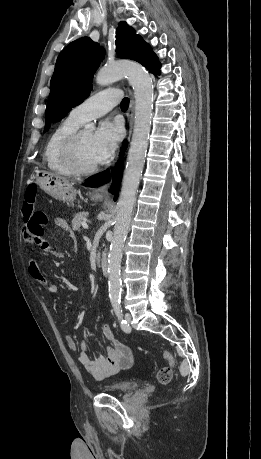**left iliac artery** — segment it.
<instances>
[{"instance_id": "44dca946", "label": "left iliac artery", "mask_w": 261, "mask_h": 459, "mask_svg": "<svg viewBox=\"0 0 261 459\" xmlns=\"http://www.w3.org/2000/svg\"><path fill=\"white\" fill-rule=\"evenodd\" d=\"M112 306L114 308V312L120 322V327L121 329L128 333L131 331V328L129 326V324L127 323L126 320L123 319V310H122V307H121V302L120 300L118 299H115V300H112Z\"/></svg>"}]
</instances>
